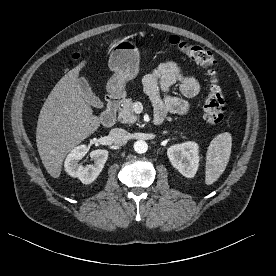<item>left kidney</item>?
Here are the masks:
<instances>
[{
	"label": "left kidney",
	"mask_w": 276,
	"mask_h": 276,
	"mask_svg": "<svg viewBox=\"0 0 276 276\" xmlns=\"http://www.w3.org/2000/svg\"><path fill=\"white\" fill-rule=\"evenodd\" d=\"M167 156L174 168L183 176L192 178L199 166V146L197 143L188 141L176 144L168 148Z\"/></svg>",
	"instance_id": "left-kidney-1"
}]
</instances>
